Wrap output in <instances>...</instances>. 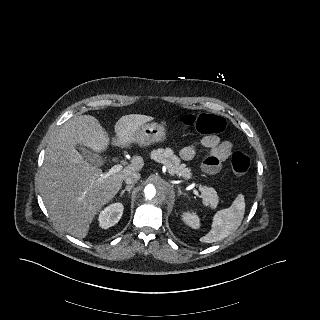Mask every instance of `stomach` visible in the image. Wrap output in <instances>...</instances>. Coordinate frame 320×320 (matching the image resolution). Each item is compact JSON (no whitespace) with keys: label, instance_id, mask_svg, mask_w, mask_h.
<instances>
[{"label":"stomach","instance_id":"stomach-1","mask_svg":"<svg viewBox=\"0 0 320 320\" xmlns=\"http://www.w3.org/2000/svg\"><path fill=\"white\" fill-rule=\"evenodd\" d=\"M136 142L140 145L148 146L154 143L166 141V129L158 123H146L135 132Z\"/></svg>","mask_w":320,"mask_h":320}]
</instances>
